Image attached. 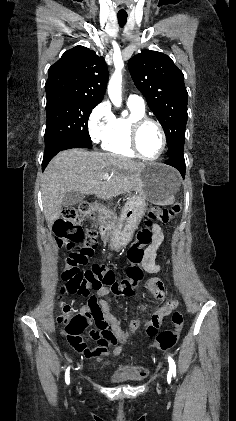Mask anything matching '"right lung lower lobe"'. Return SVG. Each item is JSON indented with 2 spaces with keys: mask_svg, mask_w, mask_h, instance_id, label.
I'll list each match as a JSON object with an SVG mask.
<instances>
[{
  "mask_svg": "<svg viewBox=\"0 0 236 421\" xmlns=\"http://www.w3.org/2000/svg\"><path fill=\"white\" fill-rule=\"evenodd\" d=\"M71 148H86L79 144L78 142L72 140H59L49 147L45 148V153L42 162V171H44L45 167L49 163V161L60 151L71 149Z\"/></svg>",
  "mask_w": 236,
  "mask_h": 421,
  "instance_id": "obj_1",
  "label": "right lung lower lobe"
}]
</instances>
